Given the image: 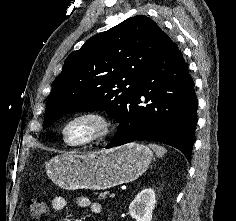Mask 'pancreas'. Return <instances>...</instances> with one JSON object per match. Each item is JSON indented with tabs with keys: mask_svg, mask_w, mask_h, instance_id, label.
Segmentation results:
<instances>
[{
	"mask_svg": "<svg viewBox=\"0 0 236 221\" xmlns=\"http://www.w3.org/2000/svg\"><path fill=\"white\" fill-rule=\"evenodd\" d=\"M106 194H107L106 192L100 193L99 196H98V199L99 200H104L106 198Z\"/></svg>",
	"mask_w": 236,
	"mask_h": 221,
	"instance_id": "cf45deb5",
	"label": "pancreas"
}]
</instances>
